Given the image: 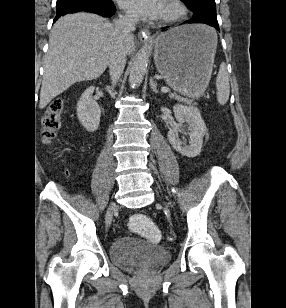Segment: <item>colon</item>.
Instances as JSON below:
<instances>
[{"label": "colon", "instance_id": "1", "mask_svg": "<svg viewBox=\"0 0 286 308\" xmlns=\"http://www.w3.org/2000/svg\"><path fill=\"white\" fill-rule=\"evenodd\" d=\"M64 102L61 98L52 100L41 119V138L44 142L52 141L61 129V115ZM131 228L151 242H158L161 234L158 228L143 214H134L130 222Z\"/></svg>", "mask_w": 286, "mask_h": 308}]
</instances>
